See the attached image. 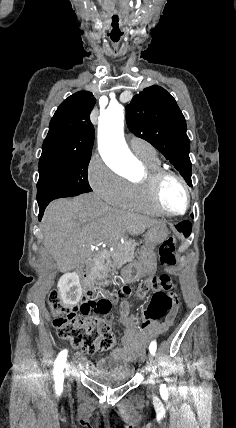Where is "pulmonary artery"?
I'll list each match as a JSON object with an SVG mask.
<instances>
[{
  "instance_id": "obj_1",
  "label": "pulmonary artery",
  "mask_w": 236,
  "mask_h": 428,
  "mask_svg": "<svg viewBox=\"0 0 236 428\" xmlns=\"http://www.w3.org/2000/svg\"><path fill=\"white\" fill-rule=\"evenodd\" d=\"M131 150L137 157H153L155 156L154 148L147 143L133 142Z\"/></svg>"
}]
</instances>
